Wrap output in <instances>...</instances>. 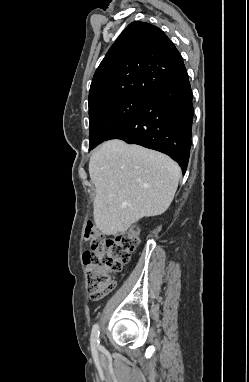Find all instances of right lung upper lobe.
<instances>
[{
	"instance_id": "cb5924a9",
	"label": "right lung upper lobe",
	"mask_w": 249,
	"mask_h": 382,
	"mask_svg": "<svg viewBox=\"0 0 249 382\" xmlns=\"http://www.w3.org/2000/svg\"><path fill=\"white\" fill-rule=\"evenodd\" d=\"M184 70L180 53L161 29L133 22L111 46L95 72L89 110L127 95L150 96Z\"/></svg>"
}]
</instances>
